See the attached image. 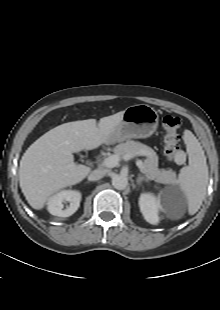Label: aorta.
<instances>
[{
  "label": "aorta",
  "mask_w": 220,
  "mask_h": 310,
  "mask_svg": "<svg viewBox=\"0 0 220 310\" xmlns=\"http://www.w3.org/2000/svg\"><path fill=\"white\" fill-rule=\"evenodd\" d=\"M112 185L117 190H124L128 185V179L124 175H115L112 178Z\"/></svg>",
  "instance_id": "aorta-1"
}]
</instances>
